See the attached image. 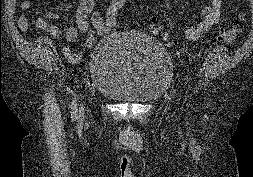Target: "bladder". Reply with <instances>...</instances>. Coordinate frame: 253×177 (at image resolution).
Returning a JSON list of instances; mask_svg holds the SVG:
<instances>
[{
	"label": "bladder",
	"instance_id": "31cf9c89",
	"mask_svg": "<svg viewBox=\"0 0 253 177\" xmlns=\"http://www.w3.org/2000/svg\"><path fill=\"white\" fill-rule=\"evenodd\" d=\"M172 70L169 55L159 41L131 31L111 33L90 58L96 92L122 103L159 99L170 84Z\"/></svg>",
	"mask_w": 253,
	"mask_h": 177
}]
</instances>
